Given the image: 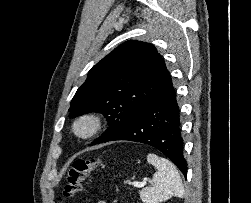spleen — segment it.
Instances as JSON below:
<instances>
[{
	"label": "spleen",
	"instance_id": "spleen-1",
	"mask_svg": "<svg viewBox=\"0 0 251 203\" xmlns=\"http://www.w3.org/2000/svg\"><path fill=\"white\" fill-rule=\"evenodd\" d=\"M147 160L155 166L157 172L153 175V187L140 191V197L145 203H159L172 196L184 197L185 190L176 167L167 159L155 154H148Z\"/></svg>",
	"mask_w": 251,
	"mask_h": 203
}]
</instances>
